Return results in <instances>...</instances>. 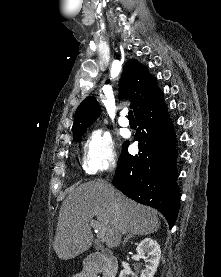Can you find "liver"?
I'll return each instance as SVG.
<instances>
[{
    "mask_svg": "<svg viewBox=\"0 0 221 277\" xmlns=\"http://www.w3.org/2000/svg\"><path fill=\"white\" fill-rule=\"evenodd\" d=\"M94 217L104 229L109 248L119 245L121 235H149L161 224L153 209L130 200L110 184L102 181L81 184L60 208L53 244L59 259L75 258L90 248L93 233L89 223Z\"/></svg>",
    "mask_w": 221,
    "mask_h": 277,
    "instance_id": "obj_1",
    "label": "liver"
}]
</instances>
